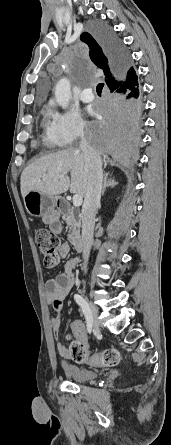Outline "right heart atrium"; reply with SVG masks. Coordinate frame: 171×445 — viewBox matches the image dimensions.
I'll return each instance as SVG.
<instances>
[{
	"label": "right heart atrium",
	"mask_w": 171,
	"mask_h": 445,
	"mask_svg": "<svg viewBox=\"0 0 171 445\" xmlns=\"http://www.w3.org/2000/svg\"><path fill=\"white\" fill-rule=\"evenodd\" d=\"M53 129L61 145H69L86 136L87 125L80 114L74 110L55 113Z\"/></svg>",
	"instance_id": "obj_1"
}]
</instances>
